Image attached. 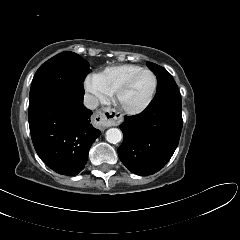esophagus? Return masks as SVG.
I'll return each mask as SVG.
<instances>
[{
	"label": "esophagus",
	"mask_w": 240,
	"mask_h": 240,
	"mask_svg": "<svg viewBox=\"0 0 240 240\" xmlns=\"http://www.w3.org/2000/svg\"><path fill=\"white\" fill-rule=\"evenodd\" d=\"M121 118V115L117 113L115 110L106 108L98 111L94 116V123L98 127L105 129L112 124L115 123V121L119 120Z\"/></svg>",
	"instance_id": "34e87169"
}]
</instances>
